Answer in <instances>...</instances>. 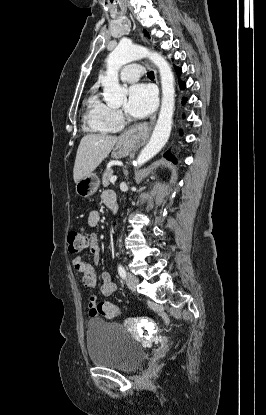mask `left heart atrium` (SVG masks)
<instances>
[{"instance_id":"1","label":"left heart atrium","mask_w":266,"mask_h":415,"mask_svg":"<svg viewBox=\"0 0 266 415\" xmlns=\"http://www.w3.org/2000/svg\"><path fill=\"white\" fill-rule=\"evenodd\" d=\"M157 99L153 88L146 84H134L128 90L125 112L134 118L149 115L156 107Z\"/></svg>"}]
</instances>
